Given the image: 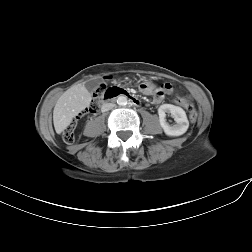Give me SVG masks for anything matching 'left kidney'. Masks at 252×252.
Instances as JSON below:
<instances>
[{
  "label": "left kidney",
  "instance_id": "1",
  "mask_svg": "<svg viewBox=\"0 0 252 252\" xmlns=\"http://www.w3.org/2000/svg\"><path fill=\"white\" fill-rule=\"evenodd\" d=\"M166 113H170L172 115L176 122L175 125L170 126L166 122ZM158 115L161 127L169 136H180L184 134L189 127L186 113L181 107L172 104H163L158 108Z\"/></svg>",
  "mask_w": 252,
  "mask_h": 252
}]
</instances>
